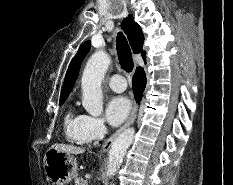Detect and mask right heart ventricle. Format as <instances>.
<instances>
[{"label":"right heart ventricle","mask_w":233,"mask_h":185,"mask_svg":"<svg viewBox=\"0 0 233 185\" xmlns=\"http://www.w3.org/2000/svg\"><path fill=\"white\" fill-rule=\"evenodd\" d=\"M84 120L85 115L79 114L75 109L71 108L65 115L64 126L67 138L69 141L76 144L87 143L84 135Z\"/></svg>","instance_id":"e07e8e85"}]
</instances>
